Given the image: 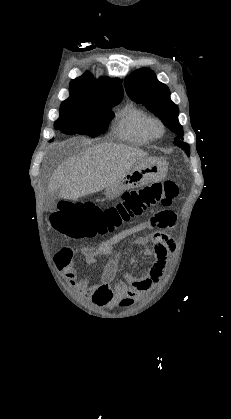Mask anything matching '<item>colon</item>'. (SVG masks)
Listing matches in <instances>:
<instances>
[{
  "label": "colon",
  "instance_id": "5ec220e1",
  "mask_svg": "<svg viewBox=\"0 0 231 419\" xmlns=\"http://www.w3.org/2000/svg\"><path fill=\"white\" fill-rule=\"evenodd\" d=\"M177 193L176 183L168 180L128 190L123 194L120 202L105 209L94 203L83 205L62 202L52 214L51 223L56 230L74 237L84 234L105 235L142 215L145 210L156 204L170 206ZM164 225L163 222L162 226ZM62 255L63 251L58 252L55 260L65 264L67 259ZM130 302V299H124L122 305H128Z\"/></svg>",
  "mask_w": 231,
  "mask_h": 419
}]
</instances>
